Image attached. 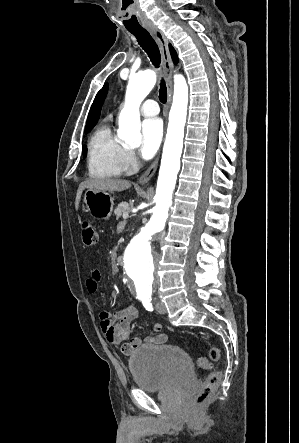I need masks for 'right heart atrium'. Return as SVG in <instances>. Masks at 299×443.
Returning <instances> with one entry per match:
<instances>
[{
	"mask_svg": "<svg viewBox=\"0 0 299 443\" xmlns=\"http://www.w3.org/2000/svg\"><path fill=\"white\" fill-rule=\"evenodd\" d=\"M138 166V159L136 154L131 149H124L123 152V167L126 171H132Z\"/></svg>",
	"mask_w": 299,
	"mask_h": 443,
	"instance_id": "d8ad5b80",
	"label": "right heart atrium"
}]
</instances>
